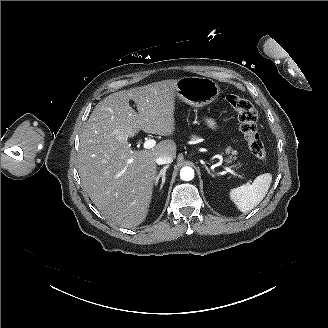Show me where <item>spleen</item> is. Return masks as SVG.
I'll return each mask as SVG.
<instances>
[{
	"label": "spleen",
	"mask_w": 328,
	"mask_h": 328,
	"mask_svg": "<svg viewBox=\"0 0 328 328\" xmlns=\"http://www.w3.org/2000/svg\"><path fill=\"white\" fill-rule=\"evenodd\" d=\"M272 175L264 173L255 178L252 184H245L230 191V198L237 208L246 213L256 207L266 196Z\"/></svg>",
	"instance_id": "1"
}]
</instances>
